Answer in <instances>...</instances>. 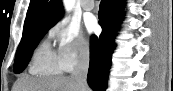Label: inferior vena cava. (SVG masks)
Returning a JSON list of instances; mask_svg holds the SVG:
<instances>
[{
    "label": "inferior vena cava",
    "mask_w": 173,
    "mask_h": 91,
    "mask_svg": "<svg viewBox=\"0 0 173 91\" xmlns=\"http://www.w3.org/2000/svg\"><path fill=\"white\" fill-rule=\"evenodd\" d=\"M89 68V47L85 46L80 50L78 61L71 74L80 91H87V73Z\"/></svg>",
    "instance_id": "1"
}]
</instances>
